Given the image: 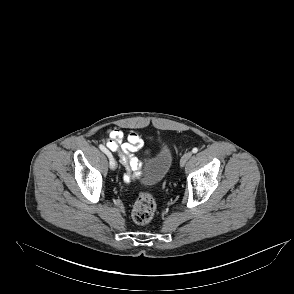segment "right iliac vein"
Wrapping results in <instances>:
<instances>
[{
  "label": "right iliac vein",
  "instance_id": "63e3f726",
  "mask_svg": "<svg viewBox=\"0 0 294 294\" xmlns=\"http://www.w3.org/2000/svg\"><path fill=\"white\" fill-rule=\"evenodd\" d=\"M116 167H117V164L115 163V165L114 166H110V168L112 169V170H115L116 169Z\"/></svg>",
  "mask_w": 294,
  "mask_h": 294
}]
</instances>
